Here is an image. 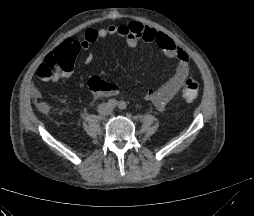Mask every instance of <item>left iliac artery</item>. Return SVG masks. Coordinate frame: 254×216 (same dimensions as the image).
<instances>
[{
  "label": "left iliac artery",
  "instance_id": "44dca946",
  "mask_svg": "<svg viewBox=\"0 0 254 216\" xmlns=\"http://www.w3.org/2000/svg\"><path fill=\"white\" fill-rule=\"evenodd\" d=\"M118 107L120 110H125L126 109V103L124 101H120L118 103Z\"/></svg>",
  "mask_w": 254,
  "mask_h": 216
}]
</instances>
